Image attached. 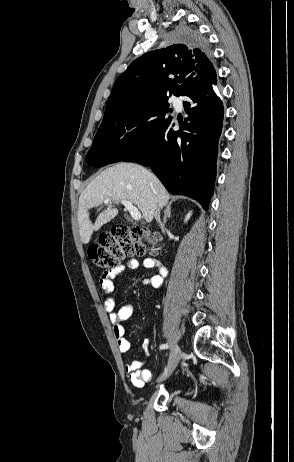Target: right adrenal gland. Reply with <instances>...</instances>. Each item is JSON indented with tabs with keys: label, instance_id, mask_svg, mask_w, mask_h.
I'll list each match as a JSON object with an SVG mask.
<instances>
[{
	"label": "right adrenal gland",
	"instance_id": "right-adrenal-gland-1",
	"mask_svg": "<svg viewBox=\"0 0 294 462\" xmlns=\"http://www.w3.org/2000/svg\"><path fill=\"white\" fill-rule=\"evenodd\" d=\"M171 205H172V202H169L166 205V208H165V211H164L163 226H165V224L167 222V218H169L171 216Z\"/></svg>",
	"mask_w": 294,
	"mask_h": 462
}]
</instances>
